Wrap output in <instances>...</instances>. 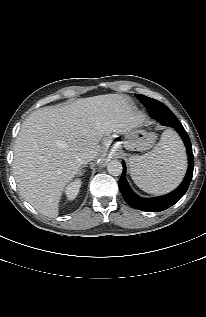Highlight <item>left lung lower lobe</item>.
<instances>
[{"mask_svg":"<svg viewBox=\"0 0 206 317\" xmlns=\"http://www.w3.org/2000/svg\"><path fill=\"white\" fill-rule=\"evenodd\" d=\"M146 107L151 117H153L163 125L173 127L181 136L188 155L189 165L187 174L180 186L171 193L156 198H142L136 195L130 188L125 178L126 165L123 161V172L119 180V188L124 200L129 206L147 212H160L174 205L187 191L193 174L194 158L190 139L182 124L178 121V119L174 116L170 109L162 103H146Z\"/></svg>","mask_w":206,"mask_h":317,"instance_id":"left-lung-lower-lobe-1","label":"left lung lower lobe"}]
</instances>
